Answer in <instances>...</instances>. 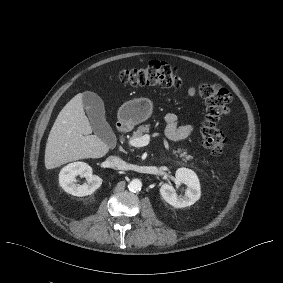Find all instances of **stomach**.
<instances>
[{
  "instance_id": "obj_1",
  "label": "stomach",
  "mask_w": 283,
  "mask_h": 283,
  "mask_svg": "<svg viewBox=\"0 0 283 283\" xmlns=\"http://www.w3.org/2000/svg\"><path fill=\"white\" fill-rule=\"evenodd\" d=\"M142 99H134L127 103L121 112L118 111V120L123 126L132 128L150 117L146 115L150 110L149 103Z\"/></svg>"
}]
</instances>
